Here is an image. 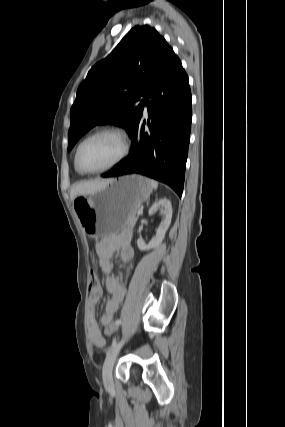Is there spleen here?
<instances>
[{
  "label": "spleen",
  "mask_w": 285,
  "mask_h": 427,
  "mask_svg": "<svg viewBox=\"0 0 285 427\" xmlns=\"http://www.w3.org/2000/svg\"><path fill=\"white\" fill-rule=\"evenodd\" d=\"M150 183H151V186H152L153 189L156 190L158 188V183L156 181L150 180Z\"/></svg>",
  "instance_id": "3e777b00"
}]
</instances>
